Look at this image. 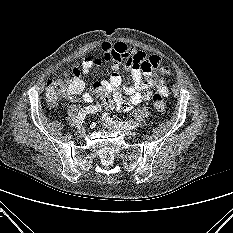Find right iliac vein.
<instances>
[{
  "instance_id": "1",
  "label": "right iliac vein",
  "mask_w": 233,
  "mask_h": 233,
  "mask_svg": "<svg viewBox=\"0 0 233 233\" xmlns=\"http://www.w3.org/2000/svg\"><path fill=\"white\" fill-rule=\"evenodd\" d=\"M85 134H86V130L84 127H80L76 132V135L79 138H83L85 136Z\"/></svg>"
}]
</instances>
